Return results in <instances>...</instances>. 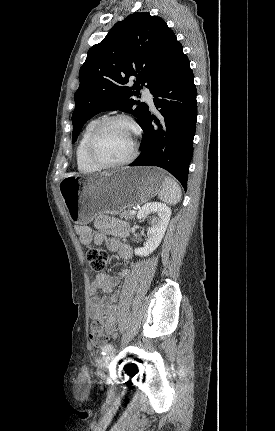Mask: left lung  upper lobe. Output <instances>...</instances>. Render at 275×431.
I'll use <instances>...</instances> for the list:
<instances>
[{
    "instance_id": "1",
    "label": "left lung upper lobe",
    "mask_w": 275,
    "mask_h": 431,
    "mask_svg": "<svg viewBox=\"0 0 275 431\" xmlns=\"http://www.w3.org/2000/svg\"><path fill=\"white\" fill-rule=\"evenodd\" d=\"M179 45L166 22L148 12H137L117 22L101 43L89 49L80 68V85L74 95L72 143L83 125L103 111L132 113L141 126L148 105L132 96H138L142 86L152 92ZM130 78L136 79L132 87L126 86Z\"/></svg>"
}]
</instances>
